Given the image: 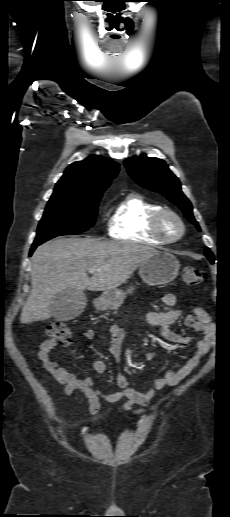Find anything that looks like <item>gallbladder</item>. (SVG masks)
Segmentation results:
<instances>
[{
	"instance_id": "1",
	"label": "gallbladder",
	"mask_w": 230,
	"mask_h": 517,
	"mask_svg": "<svg viewBox=\"0 0 230 517\" xmlns=\"http://www.w3.org/2000/svg\"><path fill=\"white\" fill-rule=\"evenodd\" d=\"M86 295L76 290H65L55 295L51 302L52 316L66 321L79 316L86 306Z\"/></svg>"
}]
</instances>
